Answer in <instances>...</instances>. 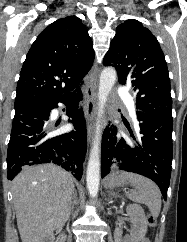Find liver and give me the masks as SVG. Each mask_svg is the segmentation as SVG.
Listing matches in <instances>:
<instances>
[{"label": "liver", "mask_w": 187, "mask_h": 242, "mask_svg": "<svg viewBox=\"0 0 187 242\" xmlns=\"http://www.w3.org/2000/svg\"><path fill=\"white\" fill-rule=\"evenodd\" d=\"M12 194L22 242H41L68 220L74 179L52 163L26 167L12 181Z\"/></svg>", "instance_id": "6515ba94"}]
</instances>
